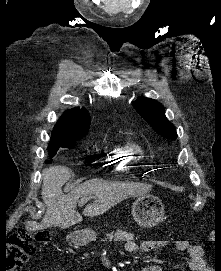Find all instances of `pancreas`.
I'll return each instance as SVG.
<instances>
[{
  "label": "pancreas",
  "mask_w": 221,
  "mask_h": 271,
  "mask_svg": "<svg viewBox=\"0 0 221 271\" xmlns=\"http://www.w3.org/2000/svg\"><path fill=\"white\" fill-rule=\"evenodd\" d=\"M127 231L117 229V231H111L104 237V242H134V237H127Z\"/></svg>",
  "instance_id": "cf45deb5"
}]
</instances>
